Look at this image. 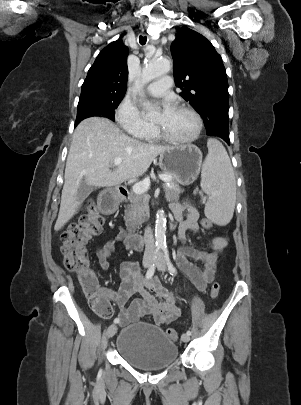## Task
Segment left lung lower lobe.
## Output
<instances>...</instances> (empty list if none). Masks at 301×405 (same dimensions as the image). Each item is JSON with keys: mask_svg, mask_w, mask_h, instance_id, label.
I'll return each instance as SVG.
<instances>
[{"mask_svg": "<svg viewBox=\"0 0 301 405\" xmlns=\"http://www.w3.org/2000/svg\"><path fill=\"white\" fill-rule=\"evenodd\" d=\"M216 136L222 138L224 141H226L228 144H230L229 134H222V133H221V134L216 135Z\"/></svg>", "mask_w": 301, "mask_h": 405, "instance_id": "0a47b994", "label": "left lung lower lobe"}]
</instances>
